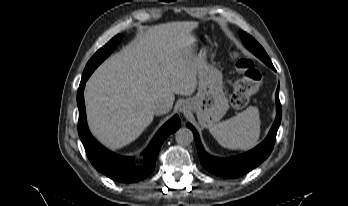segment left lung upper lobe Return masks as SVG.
<instances>
[{"mask_svg":"<svg viewBox=\"0 0 348 206\" xmlns=\"http://www.w3.org/2000/svg\"><path fill=\"white\" fill-rule=\"evenodd\" d=\"M241 38L243 40V42L245 43V45L251 49L253 52H255L257 55H259L261 57V59L271 68H274L271 60L269 59V57L267 56L266 52L264 51V49L259 45V43L250 35H248L246 32L241 31Z\"/></svg>","mask_w":348,"mask_h":206,"instance_id":"1","label":"left lung upper lobe"}]
</instances>
